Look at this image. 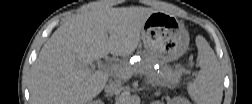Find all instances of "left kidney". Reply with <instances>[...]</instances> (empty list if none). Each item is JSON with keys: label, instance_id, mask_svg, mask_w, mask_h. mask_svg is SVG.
I'll return each instance as SVG.
<instances>
[{"label": "left kidney", "instance_id": "left-kidney-1", "mask_svg": "<svg viewBox=\"0 0 252 104\" xmlns=\"http://www.w3.org/2000/svg\"><path fill=\"white\" fill-rule=\"evenodd\" d=\"M174 103H182V104H186L187 103V100L184 99V98H181V97H175L173 98L172 100Z\"/></svg>", "mask_w": 252, "mask_h": 104}]
</instances>
